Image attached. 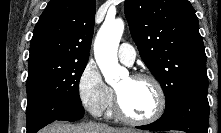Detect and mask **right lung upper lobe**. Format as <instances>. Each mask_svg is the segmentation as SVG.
I'll use <instances>...</instances> for the list:
<instances>
[{
  "mask_svg": "<svg viewBox=\"0 0 221 133\" xmlns=\"http://www.w3.org/2000/svg\"><path fill=\"white\" fill-rule=\"evenodd\" d=\"M95 7V0L48 3L33 31L29 75L54 66L88 61Z\"/></svg>",
  "mask_w": 221,
  "mask_h": 133,
  "instance_id": "1",
  "label": "right lung upper lobe"
}]
</instances>
